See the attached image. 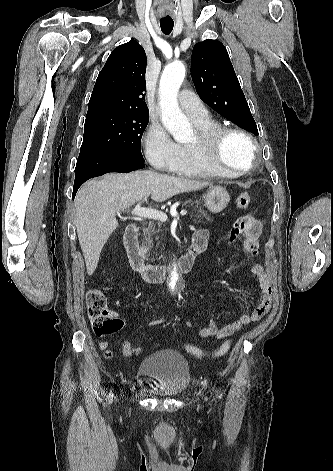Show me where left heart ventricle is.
I'll use <instances>...</instances> for the list:
<instances>
[{"mask_svg":"<svg viewBox=\"0 0 333 471\" xmlns=\"http://www.w3.org/2000/svg\"><path fill=\"white\" fill-rule=\"evenodd\" d=\"M251 159V148L243 138L228 136L221 149V160L231 167H245Z\"/></svg>","mask_w":333,"mask_h":471,"instance_id":"b2bd125f","label":"left heart ventricle"}]
</instances>
